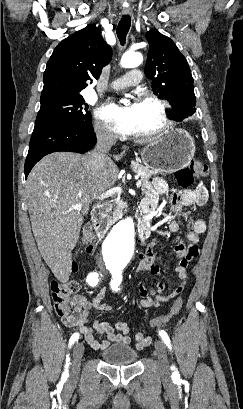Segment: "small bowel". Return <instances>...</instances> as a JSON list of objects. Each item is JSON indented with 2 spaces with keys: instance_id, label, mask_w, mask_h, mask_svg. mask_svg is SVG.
Segmentation results:
<instances>
[{
  "instance_id": "small-bowel-1",
  "label": "small bowel",
  "mask_w": 243,
  "mask_h": 409,
  "mask_svg": "<svg viewBox=\"0 0 243 409\" xmlns=\"http://www.w3.org/2000/svg\"><path fill=\"white\" fill-rule=\"evenodd\" d=\"M168 192V186L164 181L160 179L155 180L151 185L145 187L146 197L143 201L142 208L151 213L159 207H167L171 211L186 214L185 208L202 205L208 197L207 188L202 183L198 184L194 189L186 190L170 197H163ZM169 230L171 232H178L179 223L175 220L171 221ZM205 230L206 224L202 219L193 216L190 217L186 234L187 244L179 242L174 247V251L179 258L175 273L181 279V283L169 286L168 292L165 293L164 291L167 285L164 282H157L151 288H147L146 285L140 281L138 283V291L141 296L140 306L142 308L159 307L184 290L188 279L187 267L199 254L197 243L200 240V235L203 234ZM155 245L156 242L154 241H150L146 244V253L140 257L137 272H149L153 275L160 274L159 267L154 263L155 256L153 247ZM106 294L107 290L102 288L92 300L82 295H76L74 297L76 303L82 309L80 319L75 325L94 350H103L113 343L128 345L132 342L129 336L130 328L126 322L120 321L117 322L115 326H111L106 322L95 320L92 326L88 325L92 310L100 313H109L112 311V307L104 301ZM97 336L103 338L99 339ZM134 340V346L138 350L147 347L151 343V337L142 333H137Z\"/></svg>"
}]
</instances>
